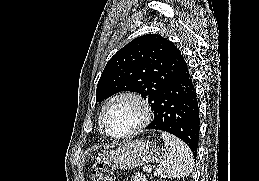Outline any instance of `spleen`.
<instances>
[{
	"mask_svg": "<svg viewBox=\"0 0 259 181\" xmlns=\"http://www.w3.org/2000/svg\"><path fill=\"white\" fill-rule=\"evenodd\" d=\"M165 143L163 160L155 169L154 175L161 178H185L190 176L194 166L190 148L176 136L162 132Z\"/></svg>",
	"mask_w": 259,
	"mask_h": 181,
	"instance_id": "3e777b00",
	"label": "spleen"
}]
</instances>
